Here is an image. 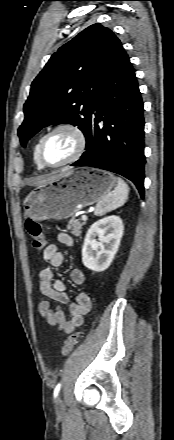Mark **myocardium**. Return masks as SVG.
<instances>
[{
  "label": "myocardium",
  "mask_w": 174,
  "mask_h": 440,
  "mask_svg": "<svg viewBox=\"0 0 174 440\" xmlns=\"http://www.w3.org/2000/svg\"><path fill=\"white\" fill-rule=\"evenodd\" d=\"M59 131H67L69 133H71L75 140H76V147L75 150L73 152V154L67 158L65 161L56 164V165H51L48 164L44 161L43 156H42V148L44 145V142L46 141V139L51 136L52 134L59 132ZM87 146V137L84 133V131L77 125L71 122H63V123H59L55 126H53L51 129H49L39 140V144H38V149H37V157H38V161L39 163L45 167V168H61L64 167L66 165H69L75 161H77L85 152Z\"/></svg>",
  "instance_id": "1"
}]
</instances>
